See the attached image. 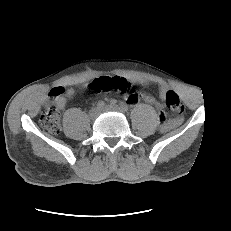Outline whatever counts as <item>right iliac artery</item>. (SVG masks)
Here are the masks:
<instances>
[{
    "label": "right iliac artery",
    "mask_w": 231,
    "mask_h": 231,
    "mask_svg": "<svg viewBox=\"0 0 231 231\" xmlns=\"http://www.w3.org/2000/svg\"><path fill=\"white\" fill-rule=\"evenodd\" d=\"M104 106H105V103H104L103 101H99V102L97 103V108H98V109H103Z\"/></svg>",
    "instance_id": "right-iliac-artery-1"
}]
</instances>
